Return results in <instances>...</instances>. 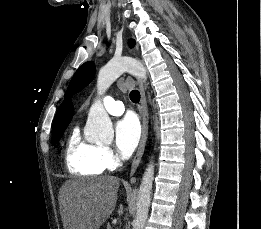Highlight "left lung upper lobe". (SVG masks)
<instances>
[{
    "mask_svg": "<svg viewBox=\"0 0 261 229\" xmlns=\"http://www.w3.org/2000/svg\"><path fill=\"white\" fill-rule=\"evenodd\" d=\"M134 45L135 41L130 40L129 46L133 47ZM95 73L96 68L93 62H86L82 64L72 77L65 96H67L68 94L73 95L87 86L94 78Z\"/></svg>",
    "mask_w": 261,
    "mask_h": 229,
    "instance_id": "5c2ea615",
    "label": "left lung upper lobe"
}]
</instances>
